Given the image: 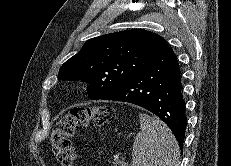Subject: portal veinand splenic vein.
Listing matches in <instances>:
<instances>
[{
  "label": "portal vein and splenic vein",
  "mask_w": 231,
  "mask_h": 166,
  "mask_svg": "<svg viewBox=\"0 0 231 166\" xmlns=\"http://www.w3.org/2000/svg\"><path fill=\"white\" fill-rule=\"evenodd\" d=\"M116 161H119L121 163V166H128L127 163H125L124 161H120L119 159Z\"/></svg>",
  "instance_id": "portal-vein-and-splenic-vein-1"
}]
</instances>
